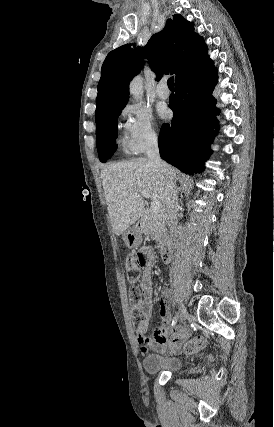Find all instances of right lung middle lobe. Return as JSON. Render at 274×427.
I'll return each mask as SVG.
<instances>
[{
  "instance_id": "1",
  "label": "right lung middle lobe",
  "mask_w": 274,
  "mask_h": 427,
  "mask_svg": "<svg viewBox=\"0 0 274 427\" xmlns=\"http://www.w3.org/2000/svg\"><path fill=\"white\" fill-rule=\"evenodd\" d=\"M128 98L96 113V145L101 162H106L115 152L117 125L116 121Z\"/></svg>"
}]
</instances>
